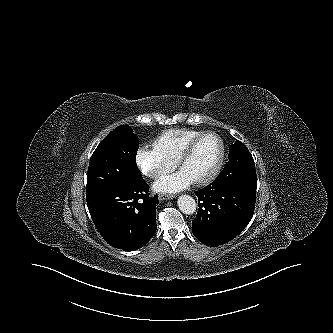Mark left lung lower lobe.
Returning a JSON list of instances; mask_svg holds the SVG:
<instances>
[{
  "label": "left lung lower lobe",
  "instance_id": "obj_1",
  "mask_svg": "<svg viewBox=\"0 0 333 333\" xmlns=\"http://www.w3.org/2000/svg\"><path fill=\"white\" fill-rule=\"evenodd\" d=\"M236 181L235 173L225 168L210 185L195 192L199 208L192 221V232L203 244H225L239 235L250 222L255 209L256 190Z\"/></svg>",
  "mask_w": 333,
  "mask_h": 333
}]
</instances>
